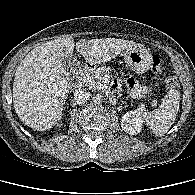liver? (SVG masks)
<instances>
[{
    "label": "liver",
    "instance_id": "6515ba94",
    "mask_svg": "<svg viewBox=\"0 0 195 195\" xmlns=\"http://www.w3.org/2000/svg\"><path fill=\"white\" fill-rule=\"evenodd\" d=\"M133 41L66 37L43 43L29 52L18 66L13 83V104L20 120L37 131L51 129L61 119L70 92V76L59 58L74 48L91 65L106 63L134 46Z\"/></svg>",
    "mask_w": 195,
    "mask_h": 195
}]
</instances>
